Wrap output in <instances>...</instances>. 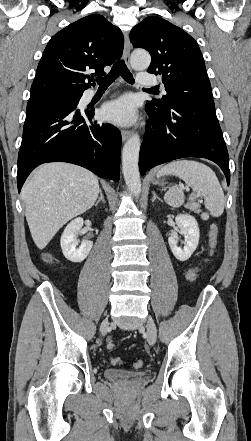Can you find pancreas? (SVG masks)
I'll return each instance as SVG.
<instances>
[{
	"mask_svg": "<svg viewBox=\"0 0 251 441\" xmlns=\"http://www.w3.org/2000/svg\"><path fill=\"white\" fill-rule=\"evenodd\" d=\"M185 208L193 211L196 214L201 213L200 205L199 204H186Z\"/></svg>",
	"mask_w": 251,
	"mask_h": 441,
	"instance_id": "cf45deb5",
	"label": "pancreas"
}]
</instances>
